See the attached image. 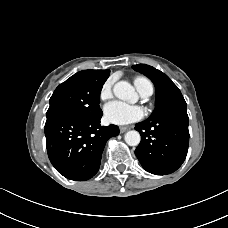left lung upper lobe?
Segmentation results:
<instances>
[{
	"instance_id": "5c2ea615",
	"label": "left lung upper lobe",
	"mask_w": 228,
	"mask_h": 228,
	"mask_svg": "<svg viewBox=\"0 0 228 228\" xmlns=\"http://www.w3.org/2000/svg\"><path fill=\"white\" fill-rule=\"evenodd\" d=\"M132 68L146 75L155 85L156 108L146 121H154L176 107L186 106L181 91L166 74L146 64L134 65Z\"/></svg>"
}]
</instances>
